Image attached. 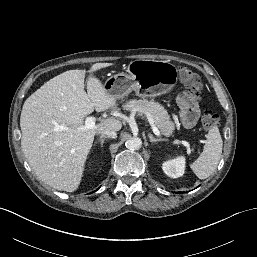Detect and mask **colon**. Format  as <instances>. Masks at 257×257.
<instances>
[{
    "label": "colon",
    "instance_id": "5ec220e1",
    "mask_svg": "<svg viewBox=\"0 0 257 257\" xmlns=\"http://www.w3.org/2000/svg\"><path fill=\"white\" fill-rule=\"evenodd\" d=\"M180 81L192 91L196 97H200L203 85L199 76L191 70L181 67L179 69ZM219 123V115L212 111H205L201 117V124L205 130H211Z\"/></svg>",
    "mask_w": 257,
    "mask_h": 257
}]
</instances>
